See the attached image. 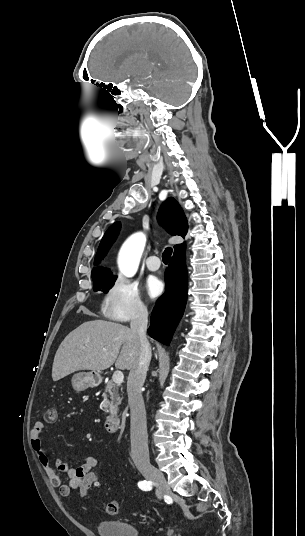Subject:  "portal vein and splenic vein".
Masks as SVG:
<instances>
[{
	"mask_svg": "<svg viewBox=\"0 0 305 536\" xmlns=\"http://www.w3.org/2000/svg\"><path fill=\"white\" fill-rule=\"evenodd\" d=\"M104 352H106V348H103ZM112 380L113 382H115V384H117V386H120V384H122L123 380H124V376L122 374V372H114L113 376H112Z\"/></svg>",
	"mask_w": 305,
	"mask_h": 536,
	"instance_id": "1",
	"label": "portal vein and splenic vein"
}]
</instances>
